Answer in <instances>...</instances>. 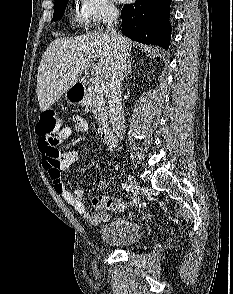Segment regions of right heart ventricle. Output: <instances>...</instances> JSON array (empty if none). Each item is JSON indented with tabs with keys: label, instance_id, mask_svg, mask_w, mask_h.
I'll return each mask as SVG.
<instances>
[{
	"label": "right heart ventricle",
	"instance_id": "e07e8e85",
	"mask_svg": "<svg viewBox=\"0 0 233 294\" xmlns=\"http://www.w3.org/2000/svg\"><path fill=\"white\" fill-rule=\"evenodd\" d=\"M72 22H75V23H83L82 22V19H81V17H80V15H79L78 12L73 15Z\"/></svg>",
	"mask_w": 233,
	"mask_h": 294
}]
</instances>
